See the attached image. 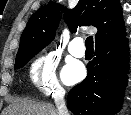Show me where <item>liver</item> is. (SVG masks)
<instances>
[{"label":"liver","mask_w":131,"mask_h":115,"mask_svg":"<svg viewBox=\"0 0 131 115\" xmlns=\"http://www.w3.org/2000/svg\"><path fill=\"white\" fill-rule=\"evenodd\" d=\"M3 115H59L51 104H41L32 100L20 99L14 101L3 112Z\"/></svg>","instance_id":"6515ba94"}]
</instances>
